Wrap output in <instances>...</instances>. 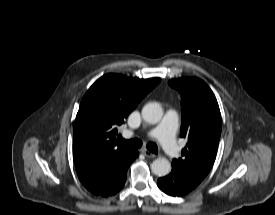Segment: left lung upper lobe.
I'll return each instance as SVG.
<instances>
[{"label": "left lung upper lobe", "instance_id": "obj_1", "mask_svg": "<svg viewBox=\"0 0 275 215\" xmlns=\"http://www.w3.org/2000/svg\"><path fill=\"white\" fill-rule=\"evenodd\" d=\"M181 95V137L187 138L182 158L176 163L190 173L205 178L215 161L221 134V114L209 86L195 77L169 81Z\"/></svg>", "mask_w": 275, "mask_h": 215}]
</instances>
